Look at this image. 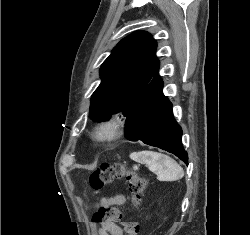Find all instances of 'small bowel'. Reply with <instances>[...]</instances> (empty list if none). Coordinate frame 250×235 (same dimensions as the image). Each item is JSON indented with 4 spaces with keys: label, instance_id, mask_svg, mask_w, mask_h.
Masks as SVG:
<instances>
[{
    "label": "small bowel",
    "instance_id": "obj_1",
    "mask_svg": "<svg viewBox=\"0 0 250 235\" xmlns=\"http://www.w3.org/2000/svg\"><path fill=\"white\" fill-rule=\"evenodd\" d=\"M126 198L124 195H115L113 197L104 198L101 205H124ZM98 235H123V230L120 226L113 225H100L98 227Z\"/></svg>",
    "mask_w": 250,
    "mask_h": 235
}]
</instances>
